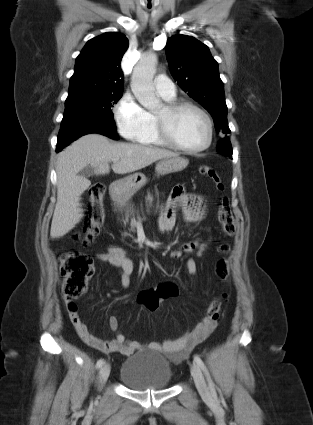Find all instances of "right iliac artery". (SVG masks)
Here are the masks:
<instances>
[{
    "instance_id": "obj_1",
    "label": "right iliac artery",
    "mask_w": 313,
    "mask_h": 425,
    "mask_svg": "<svg viewBox=\"0 0 313 425\" xmlns=\"http://www.w3.org/2000/svg\"><path fill=\"white\" fill-rule=\"evenodd\" d=\"M104 364V360L103 359H99L98 361H97V363H96V367L97 368H100V367H102V365Z\"/></svg>"
}]
</instances>
